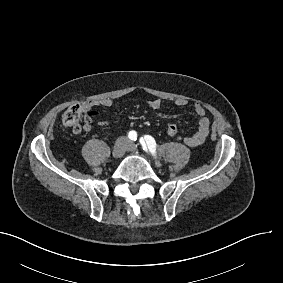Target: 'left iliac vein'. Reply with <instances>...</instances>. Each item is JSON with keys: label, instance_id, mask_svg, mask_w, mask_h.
I'll return each mask as SVG.
<instances>
[{"label": "left iliac vein", "instance_id": "left-iliac-vein-1", "mask_svg": "<svg viewBox=\"0 0 283 283\" xmlns=\"http://www.w3.org/2000/svg\"><path fill=\"white\" fill-rule=\"evenodd\" d=\"M136 150H137V146L134 143H131L127 148V151L130 152H135Z\"/></svg>", "mask_w": 283, "mask_h": 283}]
</instances>
